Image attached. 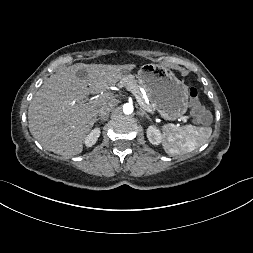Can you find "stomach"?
<instances>
[{
    "mask_svg": "<svg viewBox=\"0 0 253 253\" xmlns=\"http://www.w3.org/2000/svg\"><path fill=\"white\" fill-rule=\"evenodd\" d=\"M136 77L162 118L173 121L187 112L188 86L171 70L157 64H144Z\"/></svg>",
    "mask_w": 253,
    "mask_h": 253,
    "instance_id": "stomach-1",
    "label": "stomach"
}]
</instances>
